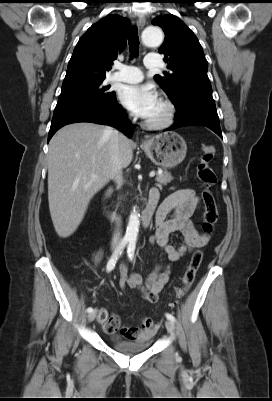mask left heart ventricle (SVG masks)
<instances>
[{"label":"left heart ventricle","instance_id":"left-heart-ventricle-1","mask_svg":"<svg viewBox=\"0 0 272 401\" xmlns=\"http://www.w3.org/2000/svg\"><path fill=\"white\" fill-rule=\"evenodd\" d=\"M164 114V108L163 106L158 102L156 109L154 110V112L152 113V115L147 118V120H157L159 118H161Z\"/></svg>","mask_w":272,"mask_h":401}]
</instances>
